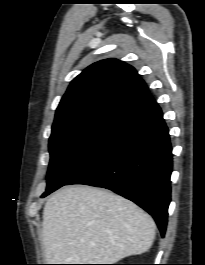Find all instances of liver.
Here are the masks:
<instances>
[{
    "mask_svg": "<svg viewBox=\"0 0 205 265\" xmlns=\"http://www.w3.org/2000/svg\"><path fill=\"white\" fill-rule=\"evenodd\" d=\"M155 229L150 215L113 192L65 187L43 210L45 259L48 264H114L147 252Z\"/></svg>",
    "mask_w": 205,
    "mask_h": 265,
    "instance_id": "liver-1",
    "label": "liver"
}]
</instances>
